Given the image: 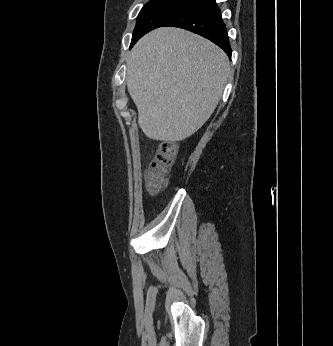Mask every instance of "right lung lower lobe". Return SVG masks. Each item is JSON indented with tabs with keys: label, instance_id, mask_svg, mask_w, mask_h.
I'll return each mask as SVG.
<instances>
[{
	"label": "right lung lower lobe",
	"instance_id": "1",
	"mask_svg": "<svg viewBox=\"0 0 333 346\" xmlns=\"http://www.w3.org/2000/svg\"><path fill=\"white\" fill-rule=\"evenodd\" d=\"M179 27L199 34L222 48L231 58L227 29L216 0H187L163 25Z\"/></svg>",
	"mask_w": 333,
	"mask_h": 346
}]
</instances>
